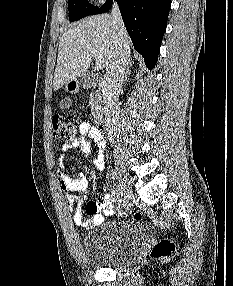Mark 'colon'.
Segmentation results:
<instances>
[{
	"label": "colon",
	"instance_id": "1",
	"mask_svg": "<svg viewBox=\"0 0 233 286\" xmlns=\"http://www.w3.org/2000/svg\"><path fill=\"white\" fill-rule=\"evenodd\" d=\"M79 125V116L75 113L69 115H55L52 120L54 136L66 143H70L75 138L76 130ZM125 215L127 213H124ZM136 220L142 219V214L139 212H130ZM174 251V244L163 239L159 241L151 251V257L163 259L169 257Z\"/></svg>",
	"mask_w": 233,
	"mask_h": 286
}]
</instances>
